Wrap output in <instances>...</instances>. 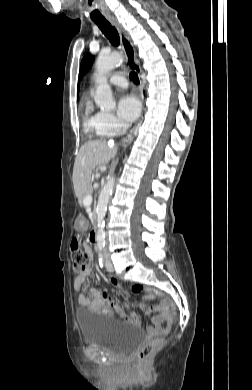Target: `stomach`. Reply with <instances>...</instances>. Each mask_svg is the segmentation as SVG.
<instances>
[{
  "instance_id": "0dacf381",
  "label": "stomach",
  "mask_w": 252,
  "mask_h": 390,
  "mask_svg": "<svg viewBox=\"0 0 252 390\" xmlns=\"http://www.w3.org/2000/svg\"><path fill=\"white\" fill-rule=\"evenodd\" d=\"M85 226V221H84V218L83 217H79L78 218V221H77V224H76V229L77 230H82Z\"/></svg>"
}]
</instances>
